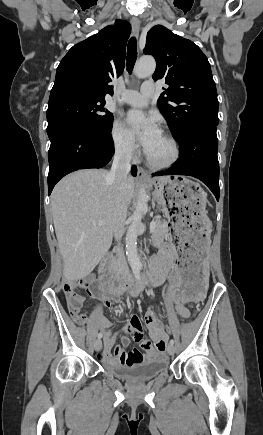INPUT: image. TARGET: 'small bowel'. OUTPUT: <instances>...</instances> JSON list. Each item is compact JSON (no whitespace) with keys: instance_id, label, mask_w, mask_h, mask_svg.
Wrapping results in <instances>:
<instances>
[{"instance_id":"1","label":"small bowel","mask_w":263,"mask_h":435,"mask_svg":"<svg viewBox=\"0 0 263 435\" xmlns=\"http://www.w3.org/2000/svg\"><path fill=\"white\" fill-rule=\"evenodd\" d=\"M155 243L160 246V251L153 256L155 274L152 278V282L157 284L166 279L170 280L166 275L167 269L165 264L167 261H173L175 254L174 249L167 244H163L159 237L155 238ZM104 303L110 306L111 300L106 299ZM176 311L182 318H188L190 315L185 305H176ZM84 322L85 317L81 324ZM143 325L149 329L150 338L154 341L153 343L144 336ZM96 327L103 336V349L99 355V359L104 363L136 364L157 356L163 357L168 347L166 343L168 334L164 329V325L153 311L146 312L143 322L137 315H132L128 326L116 334L111 333V322L104 317L97 321ZM130 337L140 345L144 353L140 352L138 349H133L129 352L125 350V348L130 345ZM117 340H120L121 345L115 346ZM113 348L114 351L112 353Z\"/></svg>"}]
</instances>
